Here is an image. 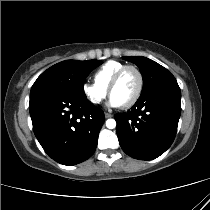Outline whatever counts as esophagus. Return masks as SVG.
I'll use <instances>...</instances> for the list:
<instances>
[{"mask_svg":"<svg viewBox=\"0 0 210 210\" xmlns=\"http://www.w3.org/2000/svg\"><path fill=\"white\" fill-rule=\"evenodd\" d=\"M112 117V114H110V113H105V118H111Z\"/></svg>","mask_w":210,"mask_h":210,"instance_id":"1","label":"esophagus"}]
</instances>
